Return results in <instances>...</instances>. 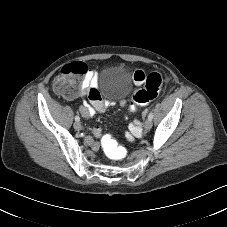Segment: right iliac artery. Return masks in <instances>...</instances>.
<instances>
[{"label":"right iliac artery","instance_id":"obj_1","mask_svg":"<svg viewBox=\"0 0 227 227\" xmlns=\"http://www.w3.org/2000/svg\"><path fill=\"white\" fill-rule=\"evenodd\" d=\"M75 121L79 122L80 121V117L79 116H75Z\"/></svg>","mask_w":227,"mask_h":227}]
</instances>
